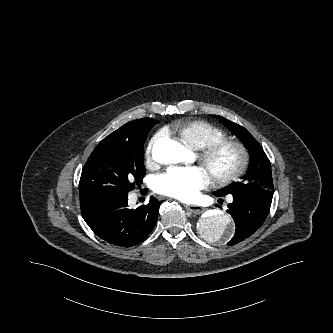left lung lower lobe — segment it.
Wrapping results in <instances>:
<instances>
[{
  "instance_id": "1",
  "label": "left lung lower lobe",
  "mask_w": 333,
  "mask_h": 333,
  "mask_svg": "<svg viewBox=\"0 0 333 333\" xmlns=\"http://www.w3.org/2000/svg\"><path fill=\"white\" fill-rule=\"evenodd\" d=\"M217 197L221 194L214 192ZM228 213L235 221L236 230L228 245L237 244L256 232L264 223L271 206V199L251 195H232Z\"/></svg>"
}]
</instances>
